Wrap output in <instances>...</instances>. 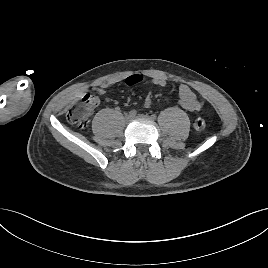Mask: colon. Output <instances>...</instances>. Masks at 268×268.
I'll list each match as a JSON object with an SVG mask.
<instances>
[{"label":"colon","mask_w":268,"mask_h":268,"mask_svg":"<svg viewBox=\"0 0 268 268\" xmlns=\"http://www.w3.org/2000/svg\"><path fill=\"white\" fill-rule=\"evenodd\" d=\"M98 103L99 99L94 93H84L77 103L67 109V120L79 128H85L88 125L90 117ZM193 127L196 131L202 132L206 128V122L203 118H197L193 123Z\"/></svg>","instance_id":"colon-1"}]
</instances>
